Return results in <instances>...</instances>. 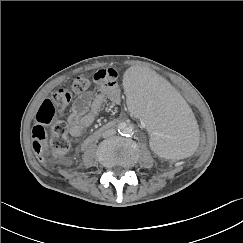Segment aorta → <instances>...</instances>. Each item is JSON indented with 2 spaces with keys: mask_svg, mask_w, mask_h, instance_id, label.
Here are the masks:
<instances>
[{
  "mask_svg": "<svg viewBox=\"0 0 243 243\" xmlns=\"http://www.w3.org/2000/svg\"><path fill=\"white\" fill-rule=\"evenodd\" d=\"M119 131H121V133L125 134V135H131L132 134V127L125 124V123H121L118 127Z\"/></svg>",
  "mask_w": 243,
  "mask_h": 243,
  "instance_id": "762f6f07",
  "label": "aorta"
}]
</instances>
